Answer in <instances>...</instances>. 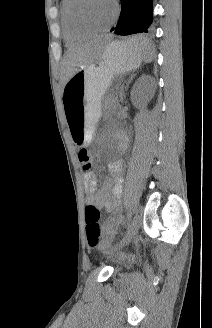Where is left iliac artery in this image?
I'll return each instance as SVG.
<instances>
[{"instance_id":"1","label":"left iliac artery","mask_w":212,"mask_h":328,"mask_svg":"<svg viewBox=\"0 0 212 328\" xmlns=\"http://www.w3.org/2000/svg\"><path fill=\"white\" fill-rule=\"evenodd\" d=\"M131 216H132V211L129 210V212L127 213V220H129L131 218Z\"/></svg>"}]
</instances>
